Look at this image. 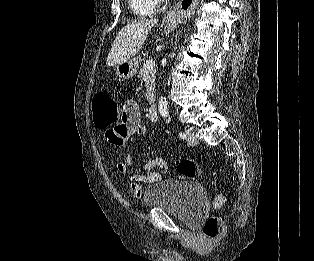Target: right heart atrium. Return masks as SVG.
Instances as JSON below:
<instances>
[{"label":"right heart atrium","instance_id":"right-heart-atrium-1","mask_svg":"<svg viewBox=\"0 0 314 261\" xmlns=\"http://www.w3.org/2000/svg\"><path fill=\"white\" fill-rule=\"evenodd\" d=\"M161 0H154V2L156 3V5H158V3L160 2Z\"/></svg>","mask_w":314,"mask_h":261}]
</instances>
